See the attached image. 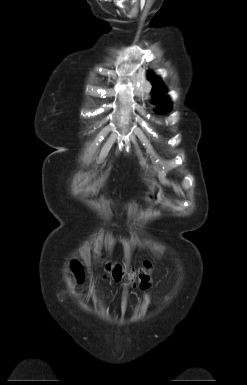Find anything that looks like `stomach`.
Returning a JSON list of instances; mask_svg holds the SVG:
<instances>
[{
    "instance_id": "stomach-1",
    "label": "stomach",
    "mask_w": 247,
    "mask_h": 385,
    "mask_svg": "<svg viewBox=\"0 0 247 385\" xmlns=\"http://www.w3.org/2000/svg\"><path fill=\"white\" fill-rule=\"evenodd\" d=\"M162 198V189L159 185H154L147 193V199L151 203H158Z\"/></svg>"
}]
</instances>
